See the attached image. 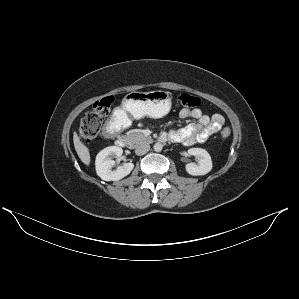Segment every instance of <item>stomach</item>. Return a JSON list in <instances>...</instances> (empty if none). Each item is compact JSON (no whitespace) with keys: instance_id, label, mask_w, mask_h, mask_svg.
I'll return each mask as SVG.
<instances>
[{"instance_id":"obj_1","label":"stomach","mask_w":299,"mask_h":299,"mask_svg":"<svg viewBox=\"0 0 299 299\" xmlns=\"http://www.w3.org/2000/svg\"><path fill=\"white\" fill-rule=\"evenodd\" d=\"M171 108L169 92L156 90L150 92L132 91L122 100V113H127L134 119L144 116L161 118L168 114Z\"/></svg>"}]
</instances>
